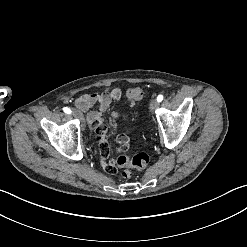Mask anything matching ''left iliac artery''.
Segmentation results:
<instances>
[{"mask_svg": "<svg viewBox=\"0 0 247 247\" xmlns=\"http://www.w3.org/2000/svg\"><path fill=\"white\" fill-rule=\"evenodd\" d=\"M162 100H163V95H158L157 101H158V102H161Z\"/></svg>", "mask_w": 247, "mask_h": 247, "instance_id": "1", "label": "left iliac artery"}]
</instances>
